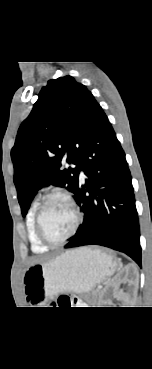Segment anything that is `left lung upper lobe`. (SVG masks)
I'll return each mask as SVG.
<instances>
[{
	"label": "left lung upper lobe",
	"mask_w": 152,
	"mask_h": 369,
	"mask_svg": "<svg viewBox=\"0 0 152 369\" xmlns=\"http://www.w3.org/2000/svg\"><path fill=\"white\" fill-rule=\"evenodd\" d=\"M87 88L71 76L49 80L21 124L11 157L23 217L36 192L50 184L76 193L80 155L99 108ZM76 164L62 169V160Z\"/></svg>",
	"instance_id": "left-lung-upper-lobe-1"
}]
</instances>
